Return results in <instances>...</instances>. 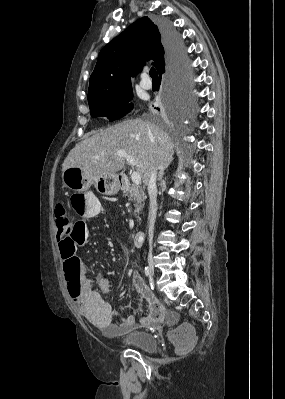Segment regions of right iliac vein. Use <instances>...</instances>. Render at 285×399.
<instances>
[{"instance_id":"obj_1","label":"right iliac vein","mask_w":285,"mask_h":399,"mask_svg":"<svg viewBox=\"0 0 285 399\" xmlns=\"http://www.w3.org/2000/svg\"><path fill=\"white\" fill-rule=\"evenodd\" d=\"M148 266H149L150 276L153 277L154 276V260H153L152 254H149V256H148Z\"/></svg>"}]
</instances>
